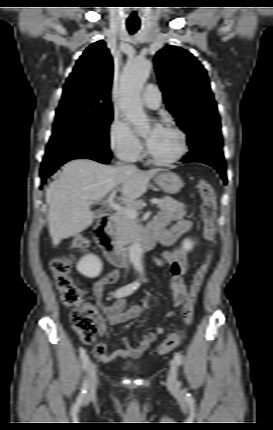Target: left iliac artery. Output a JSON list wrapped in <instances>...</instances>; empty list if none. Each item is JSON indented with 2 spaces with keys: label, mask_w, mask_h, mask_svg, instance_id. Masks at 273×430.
<instances>
[{
  "label": "left iliac artery",
  "mask_w": 273,
  "mask_h": 430,
  "mask_svg": "<svg viewBox=\"0 0 273 430\" xmlns=\"http://www.w3.org/2000/svg\"><path fill=\"white\" fill-rule=\"evenodd\" d=\"M174 360H175L177 365H181L183 362L182 355L180 353H175L174 354Z\"/></svg>",
  "instance_id": "44dca946"
}]
</instances>
